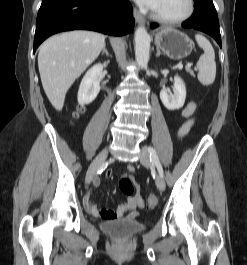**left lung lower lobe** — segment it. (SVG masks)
I'll return each mask as SVG.
<instances>
[{"instance_id": "1", "label": "left lung lower lobe", "mask_w": 247, "mask_h": 265, "mask_svg": "<svg viewBox=\"0 0 247 265\" xmlns=\"http://www.w3.org/2000/svg\"><path fill=\"white\" fill-rule=\"evenodd\" d=\"M195 11L193 15L182 23L184 28H194L212 36L221 47L219 20L212 0H194ZM157 27V24H151Z\"/></svg>"}]
</instances>
